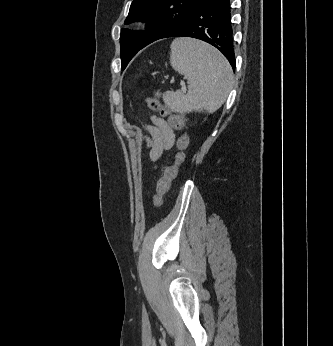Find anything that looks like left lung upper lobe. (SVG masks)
<instances>
[{
  "mask_svg": "<svg viewBox=\"0 0 333 346\" xmlns=\"http://www.w3.org/2000/svg\"><path fill=\"white\" fill-rule=\"evenodd\" d=\"M203 0H134L125 24L148 21L146 31L124 29L120 34L121 63L124 69L134 55L160 39L170 28L188 16Z\"/></svg>",
  "mask_w": 333,
  "mask_h": 346,
  "instance_id": "left-lung-upper-lobe-1",
  "label": "left lung upper lobe"
}]
</instances>
